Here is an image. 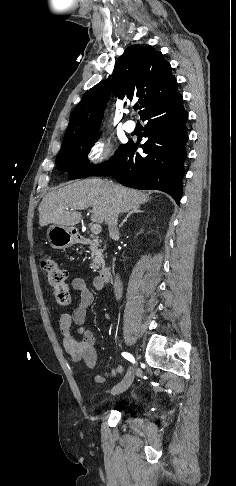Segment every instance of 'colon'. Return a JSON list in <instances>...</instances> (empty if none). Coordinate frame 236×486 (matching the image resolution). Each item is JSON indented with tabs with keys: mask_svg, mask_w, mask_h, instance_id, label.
Instances as JSON below:
<instances>
[{
	"mask_svg": "<svg viewBox=\"0 0 236 486\" xmlns=\"http://www.w3.org/2000/svg\"><path fill=\"white\" fill-rule=\"evenodd\" d=\"M41 266L49 286L53 289L57 304L60 306L68 305L71 301V289L66 283V271L49 257L42 259Z\"/></svg>",
	"mask_w": 236,
	"mask_h": 486,
	"instance_id": "colon-1",
	"label": "colon"
}]
</instances>
